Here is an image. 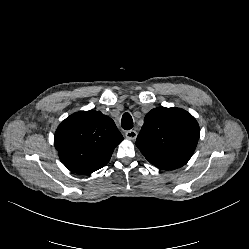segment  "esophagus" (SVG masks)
Segmentation results:
<instances>
[{"mask_svg":"<svg viewBox=\"0 0 249 249\" xmlns=\"http://www.w3.org/2000/svg\"><path fill=\"white\" fill-rule=\"evenodd\" d=\"M138 133L136 130H128L126 133H125V137L129 140H135L136 137H137Z\"/></svg>","mask_w":249,"mask_h":249,"instance_id":"obj_1","label":"esophagus"}]
</instances>
